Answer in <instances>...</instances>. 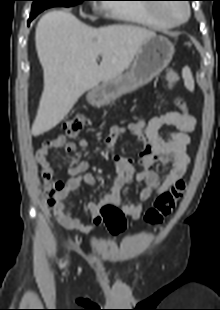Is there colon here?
Segmentation results:
<instances>
[{
	"instance_id": "obj_1",
	"label": "colon",
	"mask_w": 220,
	"mask_h": 310,
	"mask_svg": "<svg viewBox=\"0 0 220 310\" xmlns=\"http://www.w3.org/2000/svg\"><path fill=\"white\" fill-rule=\"evenodd\" d=\"M165 82L174 87L179 82V74L174 69L165 71ZM85 126V117L82 114L68 116L63 122V128L67 135H78ZM64 183L54 174H44V192L49 205L53 206L57 201V195L63 190ZM186 189V182L182 179L168 190L160 193L152 207L145 213V221L150 226H158L168 219L174 211L178 201L182 198ZM100 216L112 234H119L126 228V220L123 211L114 204H105L100 210Z\"/></svg>"
}]
</instances>
